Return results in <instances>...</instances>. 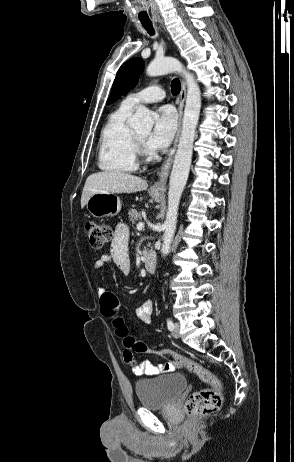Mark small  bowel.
<instances>
[{
	"label": "small bowel",
	"mask_w": 294,
	"mask_h": 462,
	"mask_svg": "<svg viewBox=\"0 0 294 462\" xmlns=\"http://www.w3.org/2000/svg\"><path fill=\"white\" fill-rule=\"evenodd\" d=\"M128 240L129 232L127 227L125 225H119L114 233L110 253L103 254L94 263V269L101 270L105 264L113 262L124 275H128L131 271V262L128 254ZM106 291L107 289L105 288H99L98 293L101 296ZM154 306L153 300L149 299L145 301L135 310L137 318L144 324L149 325L152 321ZM175 369L176 365L169 360L162 364H153L150 361H144L132 365V372L137 376H155L160 373L173 372Z\"/></svg>",
	"instance_id": "small-bowel-1"
}]
</instances>
